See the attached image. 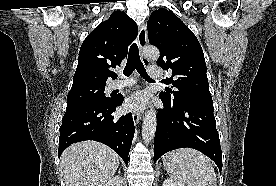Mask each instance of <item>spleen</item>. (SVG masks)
Wrapping results in <instances>:
<instances>
[{"label":"spleen","instance_id":"3e777b00","mask_svg":"<svg viewBox=\"0 0 276 186\" xmlns=\"http://www.w3.org/2000/svg\"><path fill=\"white\" fill-rule=\"evenodd\" d=\"M163 166L169 176L187 186H217V178L208 157L190 148L168 152Z\"/></svg>","mask_w":276,"mask_h":186}]
</instances>
